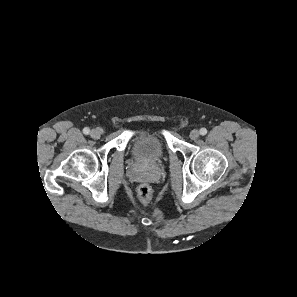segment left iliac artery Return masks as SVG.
I'll return each instance as SVG.
<instances>
[{"label":"left iliac artery","instance_id":"left-iliac-artery-1","mask_svg":"<svg viewBox=\"0 0 297 297\" xmlns=\"http://www.w3.org/2000/svg\"><path fill=\"white\" fill-rule=\"evenodd\" d=\"M200 134L201 135H206L207 134V129L206 128H201L200 129Z\"/></svg>","mask_w":297,"mask_h":297}]
</instances>
